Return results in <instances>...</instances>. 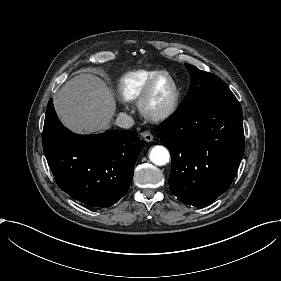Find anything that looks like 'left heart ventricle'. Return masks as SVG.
<instances>
[{"mask_svg":"<svg viewBox=\"0 0 281 281\" xmlns=\"http://www.w3.org/2000/svg\"><path fill=\"white\" fill-rule=\"evenodd\" d=\"M172 84L168 79L160 81L154 91L150 107L152 110H162L170 102L172 97Z\"/></svg>","mask_w":281,"mask_h":281,"instance_id":"b2bd125f","label":"left heart ventricle"}]
</instances>
